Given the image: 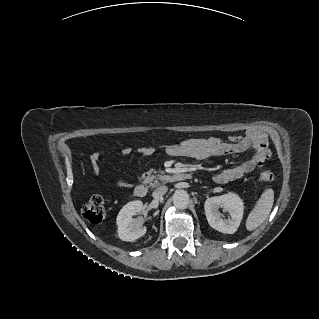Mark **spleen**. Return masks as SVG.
<instances>
[{"instance_id":"3e777b00","label":"spleen","mask_w":319,"mask_h":319,"mask_svg":"<svg viewBox=\"0 0 319 319\" xmlns=\"http://www.w3.org/2000/svg\"><path fill=\"white\" fill-rule=\"evenodd\" d=\"M274 202V191L271 188L266 189L254 209L248 215L246 220V229L253 231L258 228L268 217Z\"/></svg>"}]
</instances>
